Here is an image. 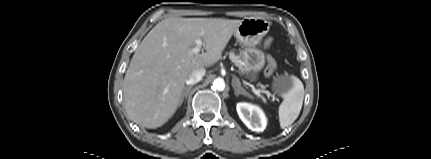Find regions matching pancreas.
<instances>
[{
	"label": "pancreas",
	"mask_w": 431,
	"mask_h": 159,
	"mask_svg": "<svg viewBox=\"0 0 431 159\" xmlns=\"http://www.w3.org/2000/svg\"><path fill=\"white\" fill-rule=\"evenodd\" d=\"M229 58L235 63V65L239 68V70L244 73L247 69L243 67V64L240 60V56L235 55L234 52L229 53Z\"/></svg>",
	"instance_id": "cf45deb5"
}]
</instances>
